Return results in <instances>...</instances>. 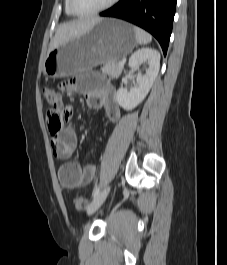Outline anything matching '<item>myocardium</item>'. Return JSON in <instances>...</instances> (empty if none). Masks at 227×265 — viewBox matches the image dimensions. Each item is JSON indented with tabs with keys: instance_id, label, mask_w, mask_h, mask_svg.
Returning <instances> with one entry per match:
<instances>
[{
	"instance_id": "1",
	"label": "myocardium",
	"mask_w": 227,
	"mask_h": 265,
	"mask_svg": "<svg viewBox=\"0 0 227 265\" xmlns=\"http://www.w3.org/2000/svg\"><path fill=\"white\" fill-rule=\"evenodd\" d=\"M118 1L119 0H109L107 3H105L101 7L96 8V9L91 10V11H87V12L79 11L75 6L74 0H68V3H69V8H70L71 12L75 16L84 17V16H91V15H95V14H99L101 12H104V11L110 9L111 7H113Z\"/></svg>"
}]
</instances>
